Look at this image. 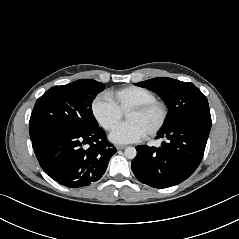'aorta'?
Wrapping results in <instances>:
<instances>
[{
    "label": "aorta",
    "mask_w": 239,
    "mask_h": 239,
    "mask_svg": "<svg viewBox=\"0 0 239 239\" xmlns=\"http://www.w3.org/2000/svg\"><path fill=\"white\" fill-rule=\"evenodd\" d=\"M124 155L128 159H134L137 155V151H136L135 147L129 146V147L125 148Z\"/></svg>",
    "instance_id": "1"
}]
</instances>
